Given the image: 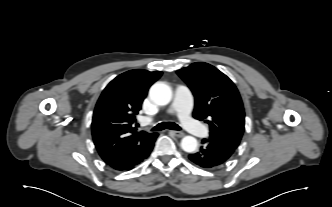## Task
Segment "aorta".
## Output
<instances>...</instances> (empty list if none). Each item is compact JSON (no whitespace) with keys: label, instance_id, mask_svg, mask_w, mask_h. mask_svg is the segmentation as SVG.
<instances>
[{"label":"aorta","instance_id":"obj_1","mask_svg":"<svg viewBox=\"0 0 332 207\" xmlns=\"http://www.w3.org/2000/svg\"><path fill=\"white\" fill-rule=\"evenodd\" d=\"M149 96L153 102L157 105H167L172 99V91L171 88L163 83L156 82L152 85L149 90ZM198 147V142L196 138L192 136H185L181 140V148L188 153H193L196 151Z\"/></svg>","mask_w":332,"mask_h":207}]
</instances>
